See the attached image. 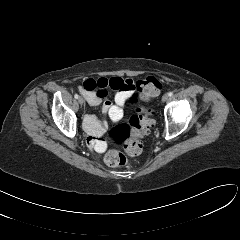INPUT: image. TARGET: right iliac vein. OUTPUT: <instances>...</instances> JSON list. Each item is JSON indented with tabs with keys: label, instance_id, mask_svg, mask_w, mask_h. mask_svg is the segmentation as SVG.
I'll list each match as a JSON object with an SVG mask.
<instances>
[{
	"label": "right iliac vein",
	"instance_id": "1",
	"mask_svg": "<svg viewBox=\"0 0 240 240\" xmlns=\"http://www.w3.org/2000/svg\"><path fill=\"white\" fill-rule=\"evenodd\" d=\"M78 102H79L80 105H83L84 104V99L82 97H79Z\"/></svg>",
	"mask_w": 240,
	"mask_h": 240
}]
</instances>
